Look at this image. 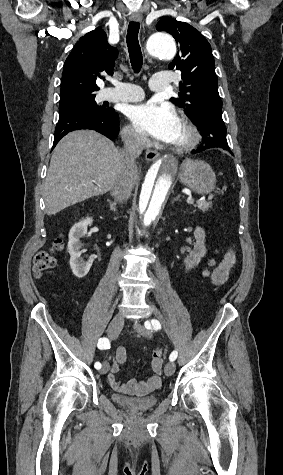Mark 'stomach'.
I'll return each mask as SVG.
<instances>
[{
    "instance_id": "stomach-1",
    "label": "stomach",
    "mask_w": 283,
    "mask_h": 475,
    "mask_svg": "<svg viewBox=\"0 0 283 475\" xmlns=\"http://www.w3.org/2000/svg\"><path fill=\"white\" fill-rule=\"evenodd\" d=\"M178 178L181 184L197 194H210L216 184V176L211 166L203 160H184Z\"/></svg>"
}]
</instances>
